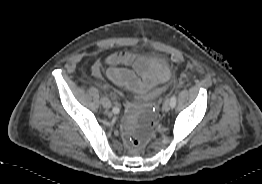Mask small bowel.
Instances as JSON below:
<instances>
[{
    "label": "small bowel",
    "instance_id": "obj_1",
    "mask_svg": "<svg viewBox=\"0 0 262 184\" xmlns=\"http://www.w3.org/2000/svg\"><path fill=\"white\" fill-rule=\"evenodd\" d=\"M109 65L105 74L115 85L138 92H147L170 78L169 69L156 59L136 57L125 51L114 52L105 59ZM93 79L100 83L104 71L94 63L90 66Z\"/></svg>",
    "mask_w": 262,
    "mask_h": 184
}]
</instances>
